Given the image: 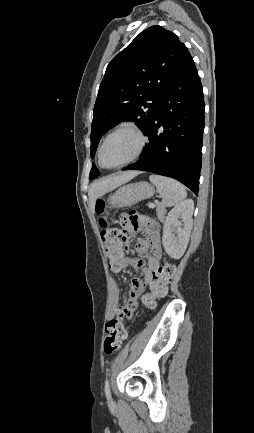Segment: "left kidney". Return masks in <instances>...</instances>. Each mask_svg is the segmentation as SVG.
<instances>
[{
	"label": "left kidney",
	"instance_id": "1",
	"mask_svg": "<svg viewBox=\"0 0 254 433\" xmlns=\"http://www.w3.org/2000/svg\"><path fill=\"white\" fill-rule=\"evenodd\" d=\"M193 212L194 202L188 199L174 206L166 217L162 243L171 258L180 259L187 248L193 225Z\"/></svg>",
	"mask_w": 254,
	"mask_h": 433
}]
</instances>
